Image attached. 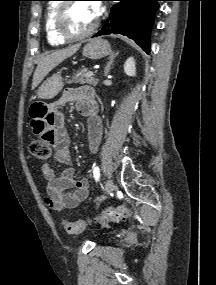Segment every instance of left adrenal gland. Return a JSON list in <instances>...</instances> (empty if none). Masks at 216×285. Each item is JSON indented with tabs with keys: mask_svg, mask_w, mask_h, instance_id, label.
<instances>
[{
	"mask_svg": "<svg viewBox=\"0 0 216 285\" xmlns=\"http://www.w3.org/2000/svg\"><path fill=\"white\" fill-rule=\"evenodd\" d=\"M118 53L119 52L110 53L109 58H108V62H107L105 69H104L105 76L108 75L110 68H111V65L114 62L115 58L117 57Z\"/></svg>",
	"mask_w": 216,
	"mask_h": 285,
	"instance_id": "obj_1",
	"label": "left adrenal gland"
}]
</instances>
